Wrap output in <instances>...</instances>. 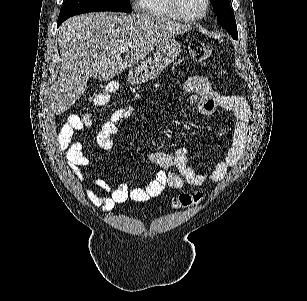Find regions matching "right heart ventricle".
Here are the masks:
<instances>
[{"instance_id": "e07e8e85", "label": "right heart ventricle", "mask_w": 307, "mask_h": 301, "mask_svg": "<svg viewBox=\"0 0 307 301\" xmlns=\"http://www.w3.org/2000/svg\"><path fill=\"white\" fill-rule=\"evenodd\" d=\"M167 1L171 0H139V3L151 17H172L173 11L168 9Z\"/></svg>"}]
</instances>
